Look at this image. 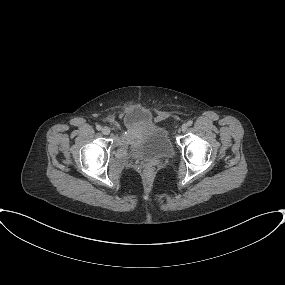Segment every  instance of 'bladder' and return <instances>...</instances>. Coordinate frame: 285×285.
Returning a JSON list of instances; mask_svg holds the SVG:
<instances>
[{
	"label": "bladder",
	"mask_w": 285,
	"mask_h": 285,
	"mask_svg": "<svg viewBox=\"0 0 285 285\" xmlns=\"http://www.w3.org/2000/svg\"><path fill=\"white\" fill-rule=\"evenodd\" d=\"M125 128L137 136L132 154L138 158H164L173 154L174 146L169 131L153 122L149 114L133 109L124 119Z\"/></svg>",
	"instance_id": "obj_1"
}]
</instances>
